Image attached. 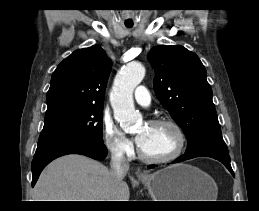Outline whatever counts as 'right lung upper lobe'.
<instances>
[{
    "label": "right lung upper lobe",
    "mask_w": 259,
    "mask_h": 211,
    "mask_svg": "<svg viewBox=\"0 0 259 211\" xmlns=\"http://www.w3.org/2000/svg\"><path fill=\"white\" fill-rule=\"evenodd\" d=\"M111 61L98 45L74 51L51 77L45 122L82 109L103 106Z\"/></svg>",
    "instance_id": "cb5924a9"
}]
</instances>
